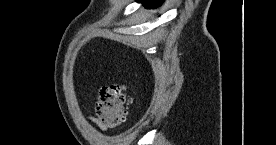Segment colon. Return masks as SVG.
<instances>
[{"label":"colon","instance_id":"colon-1","mask_svg":"<svg viewBox=\"0 0 276 145\" xmlns=\"http://www.w3.org/2000/svg\"><path fill=\"white\" fill-rule=\"evenodd\" d=\"M130 102L124 85L102 86L95 99L96 114L104 125L117 127L124 121Z\"/></svg>","mask_w":276,"mask_h":145}]
</instances>
